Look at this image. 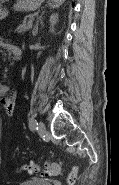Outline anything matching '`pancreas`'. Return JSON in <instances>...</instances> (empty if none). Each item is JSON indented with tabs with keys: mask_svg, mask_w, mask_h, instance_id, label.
Returning a JSON list of instances; mask_svg holds the SVG:
<instances>
[{
	"mask_svg": "<svg viewBox=\"0 0 119 185\" xmlns=\"http://www.w3.org/2000/svg\"><path fill=\"white\" fill-rule=\"evenodd\" d=\"M33 21H34V15L27 16L24 19L23 24L17 28V31L20 33L28 31L29 29L32 28Z\"/></svg>",
	"mask_w": 119,
	"mask_h": 185,
	"instance_id": "1",
	"label": "pancreas"
}]
</instances>
